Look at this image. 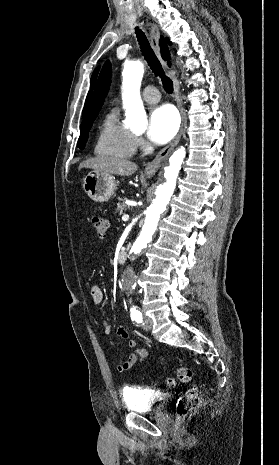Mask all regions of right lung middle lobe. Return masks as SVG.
<instances>
[{
	"mask_svg": "<svg viewBox=\"0 0 279 465\" xmlns=\"http://www.w3.org/2000/svg\"><path fill=\"white\" fill-rule=\"evenodd\" d=\"M91 126H92V124L90 126H88L87 128L80 130V137L78 139V147L80 149H84V146H85V144L87 142V139H88V135H89V131H90Z\"/></svg>",
	"mask_w": 279,
	"mask_h": 465,
	"instance_id": "obj_1",
	"label": "right lung middle lobe"
}]
</instances>
